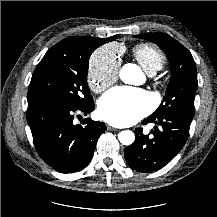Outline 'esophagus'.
I'll return each mask as SVG.
<instances>
[{"label":"esophagus","instance_id":"obj_1","mask_svg":"<svg viewBox=\"0 0 217 217\" xmlns=\"http://www.w3.org/2000/svg\"><path fill=\"white\" fill-rule=\"evenodd\" d=\"M107 129L110 130V131H117L116 128H114V127H112V126H110V125L107 126Z\"/></svg>","mask_w":217,"mask_h":217}]
</instances>
